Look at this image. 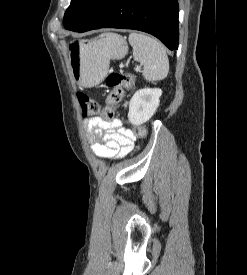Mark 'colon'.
<instances>
[{
	"mask_svg": "<svg viewBox=\"0 0 247 275\" xmlns=\"http://www.w3.org/2000/svg\"><path fill=\"white\" fill-rule=\"evenodd\" d=\"M134 75L124 71H113L106 78V85L111 89L106 98V105L101 108L100 104L84 93L77 95L81 106L82 115L89 116L101 113L105 119L113 117L114 107L121 101L124 88L131 89L134 85ZM134 134L139 138H146L148 131L142 126L134 127Z\"/></svg>",
	"mask_w": 247,
	"mask_h": 275,
	"instance_id": "colon-1",
	"label": "colon"
}]
</instances>
